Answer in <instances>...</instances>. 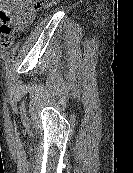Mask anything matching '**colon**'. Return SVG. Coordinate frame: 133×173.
I'll use <instances>...</instances> for the list:
<instances>
[{
	"mask_svg": "<svg viewBox=\"0 0 133 173\" xmlns=\"http://www.w3.org/2000/svg\"><path fill=\"white\" fill-rule=\"evenodd\" d=\"M59 0H36L37 8H48ZM14 42L12 26L9 17L4 11H0V49H8Z\"/></svg>",
	"mask_w": 133,
	"mask_h": 173,
	"instance_id": "5ec220e1",
	"label": "colon"
}]
</instances>
